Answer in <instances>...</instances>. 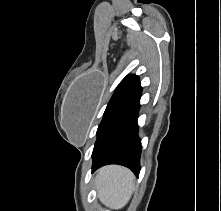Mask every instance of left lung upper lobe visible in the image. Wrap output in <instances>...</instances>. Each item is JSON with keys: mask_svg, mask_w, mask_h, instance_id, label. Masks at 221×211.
Instances as JSON below:
<instances>
[{"mask_svg": "<svg viewBox=\"0 0 221 211\" xmlns=\"http://www.w3.org/2000/svg\"><path fill=\"white\" fill-rule=\"evenodd\" d=\"M141 92L142 87L140 86L138 76L128 75L121 81L106 107L103 119L97 129V139L110 121L136 99Z\"/></svg>", "mask_w": 221, "mask_h": 211, "instance_id": "1", "label": "left lung upper lobe"}]
</instances>
